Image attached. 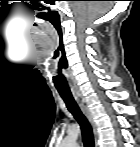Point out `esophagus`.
Instances as JSON below:
<instances>
[{"mask_svg": "<svg viewBox=\"0 0 140 147\" xmlns=\"http://www.w3.org/2000/svg\"><path fill=\"white\" fill-rule=\"evenodd\" d=\"M74 97H75L76 101L78 102L82 112L87 117L88 121L90 122V124H91V126L93 128V132H94V135H95V144H96V147H98V143H97V127H96V123L94 121V118H93V116L91 114V111L88 108V106H87L86 102L84 101V99L80 95L75 94Z\"/></svg>", "mask_w": 140, "mask_h": 147, "instance_id": "obj_1", "label": "esophagus"}]
</instances>
